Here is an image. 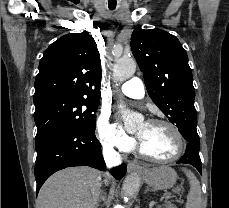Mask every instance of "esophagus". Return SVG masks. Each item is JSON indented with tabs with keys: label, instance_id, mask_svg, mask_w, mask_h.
<instances>
[{
	"label": "esophagus",
	"instance_id": "esophagus-1",
	"mask_svg": "<svg viewBox=\"0 0 229 208\" xmlns=\"http://www.w3.org/2000/svg\"><path fill=\"white\" fill-rule=\"evenodd\" d=\"M139 168H140L139 165L137 163H135V162H130L127 165V170L130 173L134 172V171H137V169H139Z\"/></svg>",
	"mask_w": 229,
	"mask_h": 208
}]
</instances>
